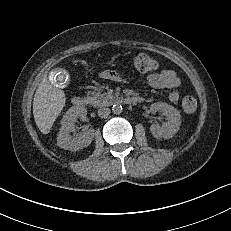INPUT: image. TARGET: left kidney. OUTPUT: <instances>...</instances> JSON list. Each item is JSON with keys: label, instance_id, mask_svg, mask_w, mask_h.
<instances>
[{"label": "left kidney", "instance_id": "5707ae66", "mask_svg": "<svg viewBox=\"0 0 231 231\" xmlns=\"http://www.w3.org/2000/svg\"><path fill=\"white\" fill-rule=\"evenodd\" d=\"M150 111L162 112L167 119V122L162 126L152 125L150 127L151 133L155 138L167 139L178 131L181 125V115L175 107L164 102H157L150 106Z\"/></svg>", "mask_w": 231, "mask_h": 231}]
</instances>
